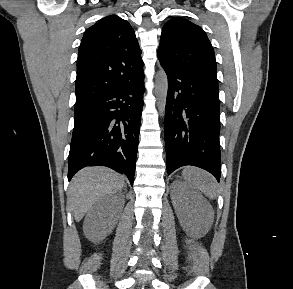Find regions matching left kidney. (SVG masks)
I'll list each match as a JSON object with an SVG mask.
<instances>
[{"instance_id":"5707ae66","label":"left kidney","mask_w":293,"mask_h":289,"mask_svg":"<svg viewBox=\"0 0 293 289\" xmlns=\"http://www.w3.org/2000/svg\"><path fill=\"white\" fill-rule=\"evenodd\" d=\"M172 203L181 226L199 235L207 230L214 217L208 200L186 182L175 180L172 185Z\"/></svg>"}]
</instances>
